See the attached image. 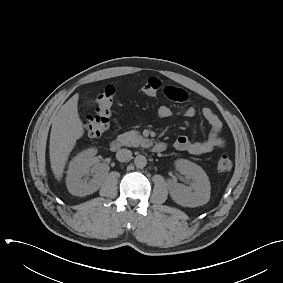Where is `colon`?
I'll use <instances>...</instances> for the list:
<instances>
[{
  "instance_id": "obj_1",
  "label": "colon",
  "mask_w": 283,
  "mask_h": 283,
  "mask_svg": "<svg viewBox=\"0 0 283 283\" xmlns=\"http://www.w3.org/2000/svg\"><path fill=\"white\" fill-rule=\"evenodd\" d=\"M161 81L156 77L148 78L143 84L142 90L149 96L156 95L161 89ZM117 88L114 85H107L97 99V111L95 114L88 115L84 121L86 133L93 138L102 136L110 124L111 110L116 95ZM232 168L231 159L224 155L216 165L219 173H225Z\"/></svg>"
}]
</instances>
